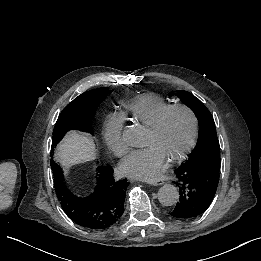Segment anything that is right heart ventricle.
I'll return each instance as SVG.
<instances>
[{"label": "right heart ventricle", "instance_id": "e07e8e85", "mask_svg": "<svg viewBox=\"0 0 261 261\" xmlns=\"http://www.w3.org/2000/svg\"><path fill=\"white\" fill-rule=\"evenodd\" d=\"M170 104V101L166 97L159 94H137L121 100V114H129L136 120L147 125V122L152 120L158 112Z\"/></svg>", "mask_w": 261, "mask_h": 261}]
</instances>
